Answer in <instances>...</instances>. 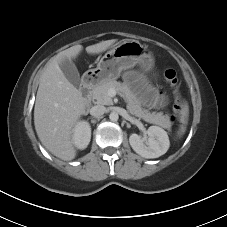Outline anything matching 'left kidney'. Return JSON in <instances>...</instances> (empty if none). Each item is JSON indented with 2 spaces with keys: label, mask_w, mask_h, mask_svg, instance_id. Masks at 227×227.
<instances>
[{
  "label": "left kidney",
  "mask_w": 227,
  "mask_h": 227,
  "mask_svg": "<svg viewBox=\"0 0 227 227\" xmlns=\"http://www.w3.org/2000/svg\"><path fill=\"white\" fill-rule=\"evenodd\" d=\"M148 138L133 133L129 137L132 149L144 158H158L169 149V137L167 132L158 127L150 126L147 130Z\"/></svg>",
  "instance_id": "left-kidney-1"
}]
</instances>
